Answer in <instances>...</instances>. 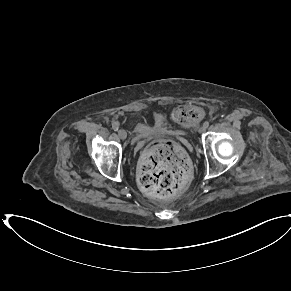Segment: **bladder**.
<instances>
[{"label": "bladder", "mask_w": 291, "mask_h": 291, "mask_svg": "<svg viewBox=\"0 0 291 291\" xmlns=\"http://www.w3.org/2000/svg\"><path fill=\"white\" fill-rule=\"evenodd\" d=\"M167 131H169V127L161 114L156 115L151 124L137 126L135 129V133L140 137L161 134Z\"/></svg>", "instance_id": "31cf9c89"}]
</instances>
